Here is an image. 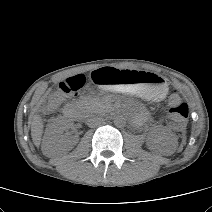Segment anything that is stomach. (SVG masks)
<instances>
[{
    "mask_svg": "<svg viewBox=\"0 0 212 212\" xmlns=\"http://www.w3.org/2000/svg\"><path fill=\"white\" fill-rule=\"evenodd\" d=\"M89 80L97 86H110L124 93L159 101L167 92L162 76L149 72L119 70L113 66H99L89 73Z\"/></svg>",
    "mask_w": 212,
    "mask_h": 212,
    "instance_id": "0dacf381",
    "label": "stomach"
}]
</instances>
